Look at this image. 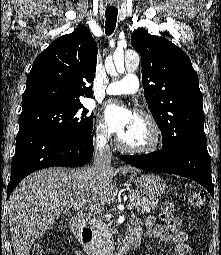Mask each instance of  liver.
Returning a JSON list of instances; mask_svg holds the SVG:
<instances>
[{"mask_svg": "<svg viewBox=\"0 0 221 255\" xmlns=\"http://www.w3.org/2000/svg\"><path fill=\"white\" fill-rule=\"evenodd\" d=\"M124 170L110 167L64 169L53 167L27 176L9 198V225L15 255H29L34 242L59 218L65 206L85 201L95 208L117 194L114 176Z\"/></svg>", "mask_w": 221, "mask_h": 255, "instance_id": "liver-1", "label": "liver"}]
</instances>
